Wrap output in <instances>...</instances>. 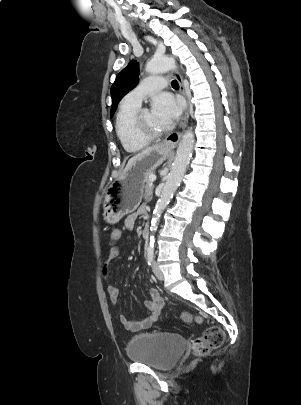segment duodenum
I'll return each instance as SVG.
<instances>
[{
    "instance_id": "duodenum-1",
    "label": "duodenum",
    "mask_w": 301,
    "mask_h": 405,
    "mask_svg": "<svg viewBox=\"0 0 301 405\" xmlns=\"http://www.w3.org/2000/svg\"><path fill=\"white\" fill-rule=\"evenodd\" d=\"M149 232H150V225H149V223H146V225L144 226V228L142 230V236L144 238L148 237Z\"/></svg>"
}]
</instances>
